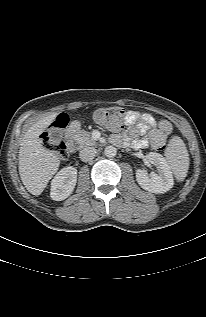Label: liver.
<instances>
[{
  "mask_svg": "<svg viewBox=\"0 0 206 317\" xmlns=\"http://www.w3.org/2000/svg\"><path fill=\"white\" fill-rule=\"evenodd\" d=\"M52 113L39 119L24 134L19 149V174L25 188L32 195H40L49 180L58 171V155L43 147L42 132L56 119Z\"/></svg>",
  "mask_w": 206,
  "mask_h": 317,
  "instance_id": "6515ba94",
  "label": "liver"
}]
</instances>
